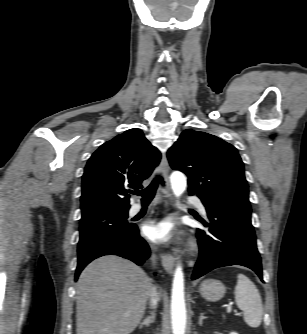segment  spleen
Segmentation results:
<instances>
[{
	"label": "spleen",
	"mask_w": 307,
	"mask_h": 334,
	"mask_svg": "<svg viewBox=\"0 0 307 334\" xmlns=\"http://www.w3.org/2000/svg\"><path fill=\"white\" fill-rule=\"evenodd\" d=\"M234 294L238 307L243 311L244 321L247 325L253 328L259 327L263 306L256 285L244 274H238Z\"/></svg>",
	"instance_id": "3e777b00"
}]
</instances>
